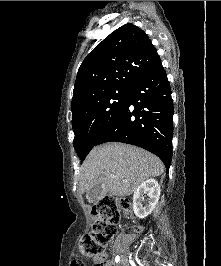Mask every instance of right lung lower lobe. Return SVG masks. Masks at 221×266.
Wrapping results in <instances>:
<instances>
[{
    "label": "right lung lower lobe",
    "mask_w": 221,
    "mask_h": 266,
    "mask_svg": "<svg viewBox=\"0 0 221 266\" xmlns=\"http://www.w3.org/2000/svg\"><path fill=\"white\" fill-rule=\"evenodd\" d=\"M173 102L162 63L130 87L125 107L103 131L96 145L117 141L157 155L169 170L172 160Z\"/></svg>",
    "instance_id": "1"
}]
</instances>
